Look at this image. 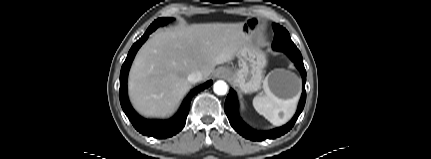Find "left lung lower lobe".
Segmentation results:
<instances>
[{
    "label": "left lung lower lobe",
    "mask_w": 431,
    "mask_h": 159,
    "mask_svg": "<svg viewBox=\"0 0 431 159\" xmlns=\"http://www.w3.org/2000/svg\"><path fill=\"white\" fill-rule=\"evenodd\" d=\"M284 52L294 62L295 66L299 69L302 76L303 92L301 95L297 112L295 116L292 118V120L282 127H279L270 131H266V132L256 131L251 127H249L247 124H245L242 121V119L239 117L237 113L238 101L236 98V93L233 89H230L225 102V113L229 119L231 126L235 129V131H237L240 135H242L246 139H249L252 141H263L266 139H275L277 137L284 135L285 133L290 131V129H292V127L294 126L296 120L298 119L300 113L304 108L305 101H306V91H305L306 70L304 68L302 55L299 50L284 51Z\"/></svg>",
    "instance_id": "obj_1"
}]
</instances>
